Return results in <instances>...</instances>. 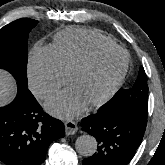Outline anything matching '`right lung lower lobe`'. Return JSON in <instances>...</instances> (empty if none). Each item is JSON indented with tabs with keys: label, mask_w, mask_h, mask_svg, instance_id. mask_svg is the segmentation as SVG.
<instances>
[{
	"label": "right lung lower lobe",
	"mask_w": 165,
	"mask_h": 165,
	"mask_svg": "<svg viewBox=\"0 0 165 165\" xmlns=\"http://www.w3.org/2000/svg\"><path fill=\"white\" fill-rule=\"evenodd\" d=\"M14 101L0 107V161L41 165L51 142L65 135L63 123L42 111L27 85L17 82Z\"/></svg>",
	"instance_id": "98d812e1"
}]
</instances>
